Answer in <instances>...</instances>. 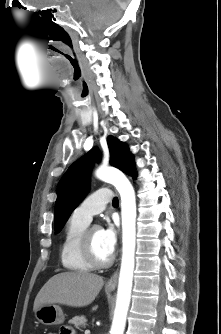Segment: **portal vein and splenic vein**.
Masks as SVG:
<instances>
[{"mask_svg":"<svg viewBox=\"0 0 221 334\" xmlns=\"http://www.w3.org/2000/svg\"><path fill=\"white\" fill-rule=\"evenodd\" d=\"M85 334H90V330H85Z\"/></svg>","mask_w":221,"mask_h":334,"instance_id":"obj_1","label":"portal vein and splenic vein"}]
</instances>
